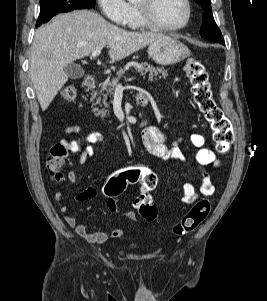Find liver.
Segmentation results:
<instances>
[{"instance_id": "liver-1", "label": "liver", "mask_w": 267, "mask_h": 301, "mask_svg": "<svg viewBox=\"0 0 267 301\" xmlns=\"http://www.w3.org/2000/svg\"><path fill=\"white\" fill-rule=\"evenodd\" d=\"M162 37L160 33L126 31L94 11L56 16L37 29L30 53L29 73L41 109L45 111L66 84L64 68L73 61L108 46L110 63H114Z\"/></svg>"}]
</instances>
